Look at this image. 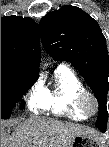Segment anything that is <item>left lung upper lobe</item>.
<instances>
[{"mask_svg": "<svg viewBox=\"0 0 109 147\" xmlns=\"http://www.w3.org/2000/svg\"><path fill=\"white\" fill-rule=\"evenodd\" d=\"M42 44L53 59L68 61L84 77L99 102L98 128L107 127L109 54L95 19L75 6L49 12L39 24Z\"/></svg>", "mask_w": 109, "mask_h": 147, "instance_id": "5c2ea615", "label": "left lung upper lobe"}]
</instances>
